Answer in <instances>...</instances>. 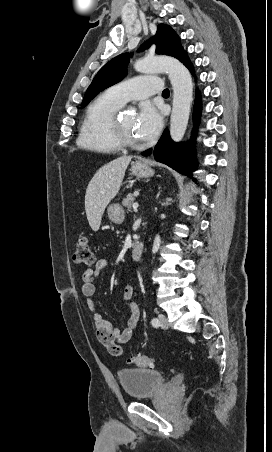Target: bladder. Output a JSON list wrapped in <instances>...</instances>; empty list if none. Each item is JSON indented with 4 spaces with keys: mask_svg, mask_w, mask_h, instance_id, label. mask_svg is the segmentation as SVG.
I'll list each match as a JSON object with an SVG mask.
<instances>
[{
    "mask_svg": "<svg viewBox=\"0 0 272 452\" xmlns=\"http://www.w3.org/2000/svg\"><path fill=\"white\" fill-rule=\"evenodd\" d=\"M118 381L129 398L142 399L159 392L166 384L165 376L150 368L121 369Z\"/></svg>",
    "mask_w": 272,
    "mask_h": 452,
    "instance_id": "1",
    "label": "bladder"
}]
</instances>
